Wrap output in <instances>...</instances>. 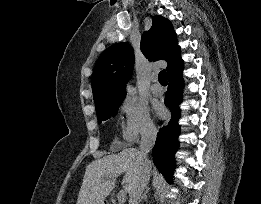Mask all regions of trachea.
<instances>
[{"label": "trachea", "mask_w": 261, "mask_h": 204, "mask_svg": "<svg viewBox=\"0 0 261 204\" xmlns=\"http://www.w3.org/2000/svg\"><path fill=\"white\" fill-rule=\"evenodd\" d=\"M159 82L161 84H166L167 83V77H166V71L165 70H162L160 73H159Z\"/></svg>", "instance_id": "3493384b"}]
</instances>
